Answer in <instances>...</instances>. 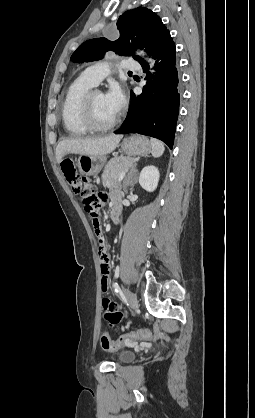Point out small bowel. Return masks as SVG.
<instances>
[{
  "label": "small bowel",
  "instance_id": "small-bowel-1",
  "mask_svg": "<svg viewBox=\"0 0 255 418\" xmlns=\"http://www.w3.org/2000/svg\"><path fill=\"white\" fill-rule=\"evenodd\" d=\"M110 198L113 201V208L118 207L117 200L119 198V191L117 189L111 191ZM96 241L97 248L95 249V254L98 256L100 263L101 288L103 292H106L109 288V278L111 274L110 258L107 249L110 240L108 237L97 235ZM102 306L103 319L110 325H114L121 320L122 314L119 312L117 304L111 298L104 297L102 299Z\"/></svg>",
  "mask_w": 255,
  "mask_h": 418
}]
</instances>
